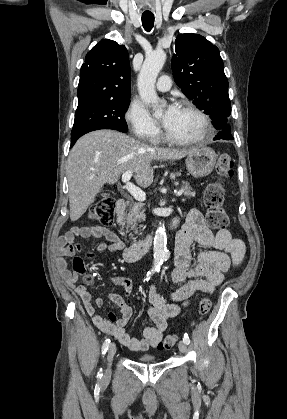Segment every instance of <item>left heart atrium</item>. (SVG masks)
I'll use <instances>...</instances> for the list:
<instances>
[{
    "instance_id": "left-heart-atrium-1",
    "label": "left heart atrium",
    "mask_w": 287,
    "mask_h": 419,
    "mask_svg": "<svg viewBox=\"0 0 287 419\" xmlns=\"http://www.w3.org/2000/svg\"><path fill=\"white\" fill-rule=\"evenodd\" d=\"M177 110H178V107L175 104H170L167 107L165 114L163 116V120H162L164 126H166L170 122V120L176 114Z\"/></svg>"
}]
</instances>
